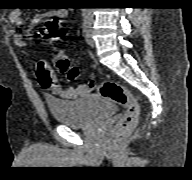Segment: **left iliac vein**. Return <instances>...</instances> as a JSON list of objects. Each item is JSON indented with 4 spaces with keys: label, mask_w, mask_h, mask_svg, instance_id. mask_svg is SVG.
Listing matches in <instances>:
<instances>
[{
    "label": "left iliac vein",
    "mask_w": 192,
    "mask_h": 180,
    "mask_svg": "<svg viewBox=\"0 0 192 180\" xmlns=\"http://www.w3.org/2000/svg\"><path fill=\"white\" fill-rule=\"evenodd\" d=\"M85 39H86V42H87L88 45H90V46H92V47L95 46V41H94V39H93V37H92V32H91L90 29H88V30L86 31Z\"/></svg>",
    "instance_id": "left-iliac-vein-1"
}]
</instances>
